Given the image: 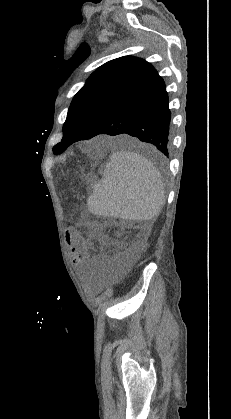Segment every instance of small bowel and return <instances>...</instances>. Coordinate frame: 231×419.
<instances>
[{"mask_svg":"<svg viewBox=\"0 0 231 419\" xmlns=\"http://www.w3.org/2000/svg\"><path fill=\"white\" fill-rule=\"evenodd\" d=\"M67 241L71 250V259L75 263H82L88 257V241L77 229H73L67 233Z\"/></svg>","mask_w":231,"mask_h":419,"instance_id":"obj_1","label":"small bowel"}]
</instances>
